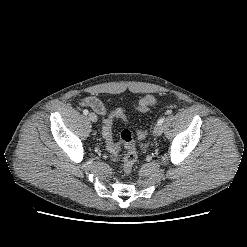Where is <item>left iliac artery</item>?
I'll return each instance as SVG.
<instances>
[{
	"label": "left iliac artery",
	"instance_id": "44dca946",
	"mask_svg": "<svg viewBox=\"0 0 247 247\" xmlns=\"http://www.w3.org/2000/svg\"><path fill=\"white\" fill-rule=\"evenodd\" d=\"M164 120H165L164 117L160 118V119L158 120V124H162V123L164 122Z\"/></svg>",
	"mask_w": 247,
	"mask_h": 247
}]
</instances>
